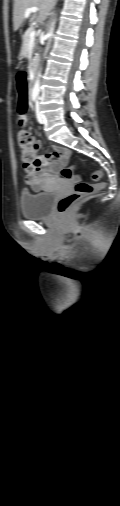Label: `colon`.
<instances>
[{
    "label": "colon",
    "mask_w": 120,
    "mask_h": 506,
    "mask_svg": "<svg viewBox=\"0 0 120 506\" xmlns=\"http://www.w3.org/2000/svg\"><path fill=\"white\" fill-rule=\"evenodd\" d=\"M16 57L18 59L24 58L18 57L17 54ZM15 75L17 78L16 82L18 89V122L19 124L24 125L26 122V113L28 109L27 79L29 78V71L27 69H18ZM18 143L23 169L29 174L35 172L39 167L40 161L39 156L37 155V146L34 142L33 135L27 131H20L18 133ZM75 170V168H63L61 170V176L67 180H75ZM101 176V172H95L92 175V178L94 181H98ZM102 187L103 183L101 182L92 184L85 181H77L74 191L68 195L61 197L58 200L57 211L60 214L67 213L78 201L102 189Z\"/></svg>",
    "instance_id": "obj_1"
}]
</instances>
